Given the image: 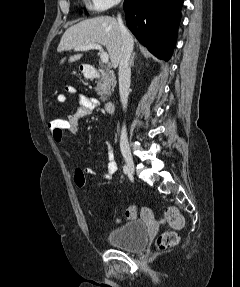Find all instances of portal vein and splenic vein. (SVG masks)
I'll use <instances>...</instances> for the list:
<instances>
[{"mask_svg":"<svg viewBox=\"0 0 240 287\" xmlns=\"http://www.w3.org/2000/svg\"><path fill=\"white\" fill-rule=\"evenodd\" d=\"M89 49H97L99 50L100 52V59L102 61V63H108L109 62V56L107 54V52L104 51L102 45L100 44H89V45H86V46H81V47H78V48H75L76 51H86V50H89Z\"/></svg>","mask_w":240,"mask_h":287,"instance_id":"18ae733b","label":"portal vein and splenic vein"}]
</instances>
